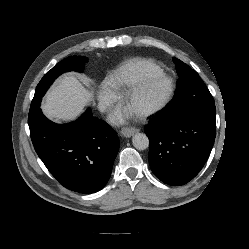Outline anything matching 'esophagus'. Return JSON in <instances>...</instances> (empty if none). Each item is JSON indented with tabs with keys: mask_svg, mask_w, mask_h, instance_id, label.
<instances>
[{
	"mask_svg": "<svg viewBox=\"0 0 249 249\" xmlns=\"http://www.w3.org/2000/svg\"><path fill=\"white\" fill-rule=\"evenodd\" d=\"M137 131H138V129H136V128H123L120 131V134L124 138H129V137L133 136Z\"/></svg>",
	"mask_w": 249,
	"mask_h": 249,
	"instance_id": "esophagus-1",
	"label": "esophagus"
}]
</instances>
